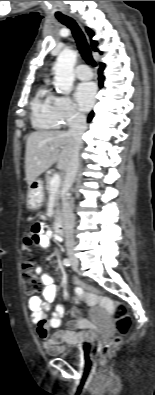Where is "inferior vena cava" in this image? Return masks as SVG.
Segmentation results:
<instances>
[{
	"mask_svg": "<svg viewBox=\"0 0 155 395\" xmlns=\"http://www.w3.org/2000/svg\"><path fill=\"white\" fill-rule=\"evenodd\" d=\"M86 129V117L83 114L76 113L69 123L68 134L73 138L74 147L69 164L66 168L64 179L65 194L63 197V221L66 238L65 244L69 255H73L74 251L73 228L75 224V215L73 213V207L70 203V195L68 194V190L72 186L79 168V151L82 145V135Z\"/></svg>",
	"mask_w": 155,
	"mask_h": 395,
	"instance_id": "obj_1",
	"label": "inferior vena cava"
}]
</instances>
